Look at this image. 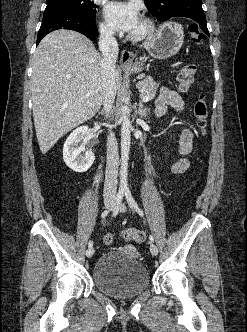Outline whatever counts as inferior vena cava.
Here are the masks:
<instances>
[{
    "instance_id": "inferior-vena-cava-1",
    "label": "inferior vena cava",
    "mask_w": 247,
    "mask_h": 332,
    "mask_svg": "<svg viewBox=\"0 0 247 332\" xmlns=\"http://www.w3.org/2000/svg\"><path fill=\"white\" fill-rule=\"evenodd\" d=\"M99 49L103 55V106L107 115L112 109V105L116 96L117 86L115 63L119 53L118 44L114 37V33L109 29H102L100 31ZM118 166V145L114 133L110 131L107 138V163L104 185L105 200H114L116 198Z\"/></svg>"
}]
</instances>
